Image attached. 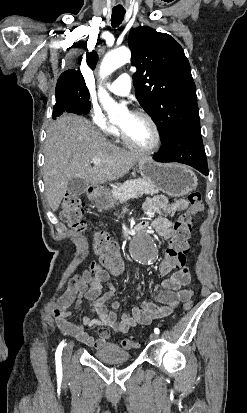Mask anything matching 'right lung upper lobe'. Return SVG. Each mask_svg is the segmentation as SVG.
<instances>
[{
  "instance_id": "1",
  "label": "right lung upper lobe",
  "mask_w": 247,
  "mask_h": 413,
  "mask_svg": "<svg viewBox=\"0 0 247 413\" xmlns=\"http://www.w3.org/2000/svg\"><path fill=\"white\" fill-rule=\"evenodd\" d=\"M97 60H98V56L96 52L87 54V63L91 69L95 68ZM65 81H84V78L80 71L70 69V70L63 72L60 75L57 82H65Z\"/></svg>"
}]
</instances>
